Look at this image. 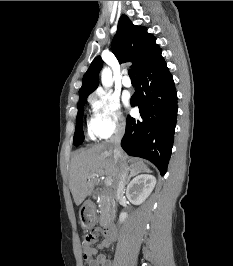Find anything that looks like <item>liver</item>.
Listing matches in <instances>:
<instances>
[{
  "label": "liver",
  "instance_id": "liver-1",
  "mask_svg": "<svg viewBox=\"0 0 233 266\" xmlns=\"http://www.w3.org/2000/svg\"><path fill=\"white\" fill-rule=\"evenodd\" d=\"M113 150L110 142H103L75 153L70 166L69 188L76 205H80L94 191L99 176L112 179L116 188L120 163L114 159ZM123 162L128 172L135 175L149 171L143 161L130 159L124 153ZM91 174L99 176L89 178Z\"/></svg>",
  "mask_w": 233,
  "mask_h": 266
}]
</instances>
